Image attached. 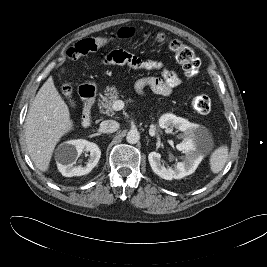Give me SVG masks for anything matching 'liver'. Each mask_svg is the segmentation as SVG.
I'll use <instances>...</instances> for the list:
<instances>
[{"label": "liver", "instance_id": "obj_1", "mask_svg": "<svg viewBox=\"0 0 267 267\" xmlns=\"http://www.w3.org/2000/svg\"><path fill=\"white\" fill-rule=\"evenodd\" d=\"M73 126L69 108L50 76L29 107L25 123L27 150L40 171H48L56 144Z\"/></svg>", "mask_w": 267, "mask_h": 267}]
</instances>
